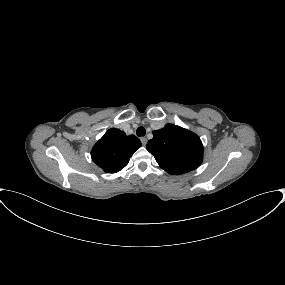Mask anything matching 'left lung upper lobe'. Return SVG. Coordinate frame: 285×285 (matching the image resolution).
<instances>
[{
	"label": "left lung upper lobe",
	"mask_w": 285,
	"mask_h": 285,
	"mask_svg": "<svg viewBox=\"0 0 285 285\" xmlns=\"http://www.w3.org/2000/svg\"><path fill=\"white\" fill-rule=\"evenodd\" d=\"M146 148L159 166L173 175L196 169L202 163L204 151L198 135L173 124L153 131Z\"/></svg>",
	"instance_id": "left-lung-upper-lobe-1"
}]
</instances>
